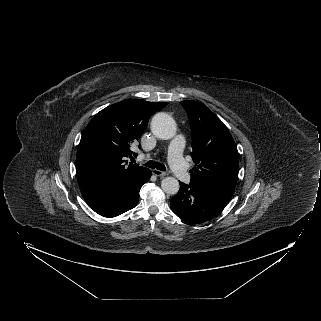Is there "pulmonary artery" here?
I'll use <instances>...</instances> for the list:
<instances>
[{"label": "pulmonary artery", "instance_id": "obj_1", "mask_svg": "<svg viewBox=\"0 0 321 321\" xmlns=\"http://www.w3.org/2000/svg\"><path fill=\"white\" fill-rule=\"evenodd\" d=\"M184 144L185 141L182 136H176L171 141L168 151V162L176 177L181 182L189 184L191 182V175L187 170L186 163L182 157Z\"/></svg>", "mask_w": 321, "mask_h": 321}]
</instances>
